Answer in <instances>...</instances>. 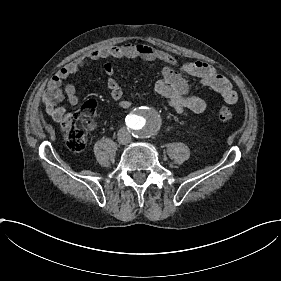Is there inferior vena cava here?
<instances>
[{
    "instance_id": "obj_1",
    "label": "inferior vena cava",
    "mask_w": 281,
    "mask_h": 281,
    "mask_svg": "<svg viewBox=\"0 0 281 281\" xmlns=\"http://www.w3.org/2000/svg\"><path fill=\"white\" fill-rule=\"evenodd\" d=\"M118 139L121 144H128L131 141V136L126 130H124V132L120 130L118 132Z\"/></svg>"
}]
</instances>
